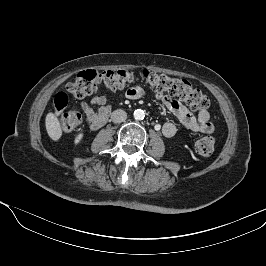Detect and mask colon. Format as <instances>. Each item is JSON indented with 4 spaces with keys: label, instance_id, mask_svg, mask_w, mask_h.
<instances>
[{
    "label": "colon",
    "instance_id": "1",
    "mask_svg": "<svg viewBox=\"0 0 266 266\" xmlns=\"http://www.w3.org/2000/svg\"><path fill=\"white\" fill-rule=\"evenodd\" d=\"M139 78L156 92L167 93L185 101L194 111H206L209 107L208 98L199 89L193 87L189 81L171 78L148 70H143L139 74L122 69L103 72L94 70L82 71L77 74L73 82L67 85V91L74 98L81 99L101 87L110 90H120L129 87ZM67 104L68 96L65 92H58L54 96L53 106L59 116L62 129L65 132H71L81 124L82 116L76 110L65 111ZM214 146V139L206 136L195 142L194 150L202 156H209L213 153Z\"/></svg>",
    "mask_w": 266,
    "mask_h": 266
}]
</instances>
